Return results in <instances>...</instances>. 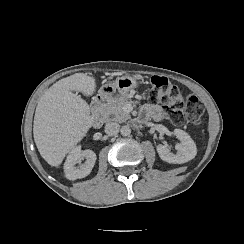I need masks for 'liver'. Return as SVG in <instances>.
Segmentation results:
<instances>
[{
    "label": "liver",
    "mask_w": 244,
    "mask_h": 244,
    "mask_svg": "<svg viewBox=\"0 0 244 244\" xmlns=\"http://www.w3.org/2000/svg\"><path fill=\"white\" fill-rule=\"evenodd\" d=\"M94 77L76 73L54 83L40 98L34 116V141L42 158L59 166L86 135L94 120L85 100L73 91L92 95Z\"/></svg>",
    "instance_id": "liver-1"
}]
</instances>
